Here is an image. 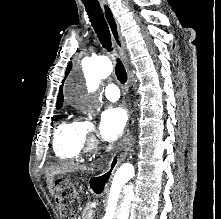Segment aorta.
I'll list each match as a JSON object with an SVG mask.
<instances>
[{"instance_id":"aorta-1","label":"aorta","mask_w":221,"mask_h":219,"mask_svg":"<svg viewBox=\"0 0 221 219\" xmlns=\"http://www.w3.org/2000/svg\"><path fill=\"white\" fill-rule=\"evenodd\" d=\"M86 70L90 73V90L95 91L100 80L112 73L113 66L108 57L99 56L87 62ZM70 94L74 95L75 92L70 90ZM138 173V165L135 162L125 163L117 169L110 189L105 219H128Z\"/></svg>"}]
</instances>
